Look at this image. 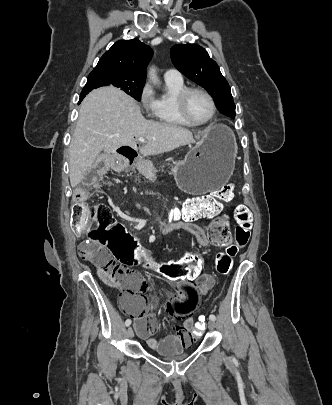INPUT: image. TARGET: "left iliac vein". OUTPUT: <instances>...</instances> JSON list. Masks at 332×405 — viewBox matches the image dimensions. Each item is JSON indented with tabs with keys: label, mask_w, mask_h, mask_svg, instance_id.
<instances>
[{
	"label": "left iliac vein",
	"mask_w": 332,
	"mask_h": 405,
	"mask_svg": "<svg viewBox=\"0 0 332 405\" xmlns=\"http://www.w3.org/2000/svg\"><path fill=\"white\" fill-rule=\"evenodd\" d=\"M208 327L210 328V329H215V327H216V324H215V322L214 321H212V320H210L209 322H208Z\"/></svg>",
	"instance_id": "left-iliac-vein-1"
}]
</instances>
